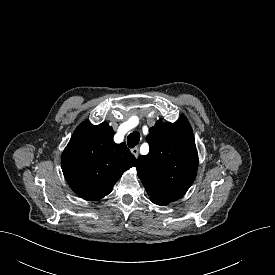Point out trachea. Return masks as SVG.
I'll list each match as a JSON object with an SVG mask.
<instances>
[{
	"instance_id": "3493384b",
	"label": "trachea",
	"mask_w": 275,
	"mask_h": 275,
	"mask_svg": "<svg viewBox=\"0 0 275 275\" xmlns=\"http://www.w3.org/2000/svg\"><path fill=\"white\" fill-rule=\"evenodd\" d=\"M140 141V134L137 131L130 133L127 137V144L129 148L135 147Z\"/></svg>"
}]
</instances>
